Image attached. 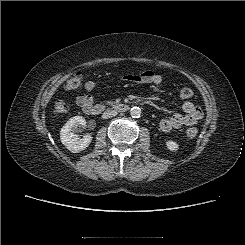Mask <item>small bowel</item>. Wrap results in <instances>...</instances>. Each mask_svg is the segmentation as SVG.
<instances>
[{
  "instance_id": "c3829d8e",
  "label": "small bowel",
  "mask_w": 245,
  "mask_h": 245,
  "mask_svg": "<svg viewBox=\"0 0 245 245\" xmlns=\"http://www.w3.org/2000/svg\"><path fill=\"white\" fill-rule=\"evenodd\" d=\"M124 79L140 83V84H154L159 85L162 83L163 78L160 74L155 73L151 70H146L138 74L127 75ZM95 87L94 82L88 81L85 83V90L87 93L81 94L77 97L76 103L85 112L88 108L93 105L94 97L92 91ZM182 110L184 114L175 113L169 117L163 118L159 127L163 132H169L172 129H177L182 126H189L196 124L203 117L202 109L199 105L194 104L190 100H186L182 104Z\"/></svg>"
}]
</instances>
